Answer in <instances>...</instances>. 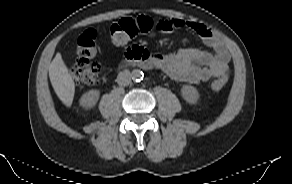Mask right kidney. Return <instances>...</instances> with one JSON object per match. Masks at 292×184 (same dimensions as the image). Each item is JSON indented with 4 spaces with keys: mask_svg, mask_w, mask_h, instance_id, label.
Instances as JSON below:
<instances>
[{
    "mask_svg": "<svg viewBox=\"0 0 292 184\" xmlns=\"http://www.w3.org/2000/svg\"><path fill=\"white\" fill-rule=\"evenodd\" d=\"M99 96V90H90L82 95L80 98V105L85 109H90L96 105Z\"/></svg>",
    "mask_w": 292,
    "mask_h": 184,
    "instance_id": "right-kidney-1",
    "label": "right kidney"
}]
</instances>
